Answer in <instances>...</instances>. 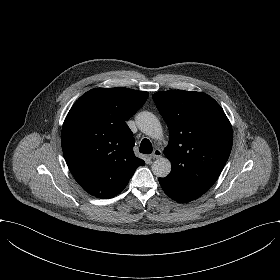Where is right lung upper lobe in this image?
<instances>
[{"label": "right lung upper lobe", "instance_id": "right-lung-upper-lobe-1", "mask_svg": "<svg viewBox=\"0 0 280 280\" xmlns=\"http://www.w3.org/2000/svg\"><path fill=\"white\" fill-rule=\"evenodd\" d=\"M148 98L147 92L95 88L83 94L67 114L61 135L66 163L90 195H118L145 162L133 152V133L126 124Z\"/></svg>", "mask_w": 280, "mask_h": 280}]
</instances>
